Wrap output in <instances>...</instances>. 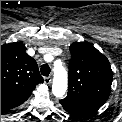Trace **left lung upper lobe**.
Instances as JSON below:
<instances>
[{
	"label": "left lung upper lobe",
	"mask_w": 122,
	"mask_h": 122,
	"mask_svg": "<svg viewBox=\"0 0 122 122\" xmlns=\"http://www.w3.org/2000/svg\"><path fill=\"white\" fill-rule=\"evenodd\" d=\"M70 52L68 95L60 103L69 113L87 117L107 101L112 70L108 59L88 42L71 44Z\"/></svg>",
	"instance_id": "obj_1"
}]
</instances>
